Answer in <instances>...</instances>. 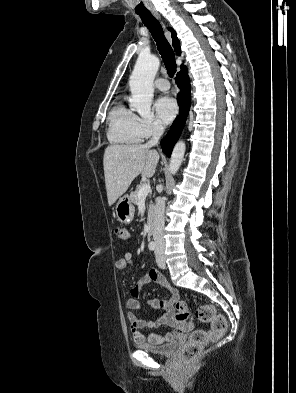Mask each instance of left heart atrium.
Listing matches in <instances>:
<instances>
[{
  "label": "left heart atrium",
  "mask_w": 296,
  "mask_h": 393,
  "mask_svg": "<svg viewBox=\"0 0 296 393\" xmlns=\"http://www.w3.org/2000/svg\"><path fill=\"white\" fill-rule=\"evenodd\" d=\"M154 108L160 120L165 124L170 123L178 112L177 103L170 96L158 98L154 104Z\"/></svg>",
  "instance_id": "obj_1"
}]
</instances>
